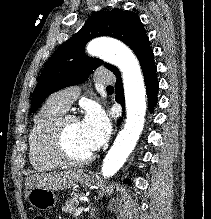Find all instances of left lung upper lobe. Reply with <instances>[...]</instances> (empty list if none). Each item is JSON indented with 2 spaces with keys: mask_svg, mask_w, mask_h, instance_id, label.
Wrapping results in <instances>:
<instances>
[{
  "mask_svg": "<svg viewBox=\"0 0 211 219\" xmlns=\"http://www.w3.org/2000/svg\"><path fill=\"white\" fill-rule=\"evenodd\" d=\"M99 36L117 38L128 45L134 53L147 38L136 13L121 9L95 12L48 60L33 92L30 112L34 113L55 91L84 82L90 73L101 65L113 73L118 70L111 64L85 54L87 42Z\"/></svg>",
  "mask_w": 211,
  "mask_h": 219,
  "instance_id": "obj_1",
  "label": "left lung upper lobe"
}]
</instances>
